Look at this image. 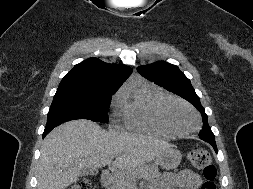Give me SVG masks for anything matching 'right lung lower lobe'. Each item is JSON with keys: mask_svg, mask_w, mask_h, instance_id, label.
<instances>
[{"mask_svg": "<svg viewBox=\"0 0 253 189\" xmlns=\"http://www.w3.org/2000/svg\"><path fill=\"white\" fill-rule=\"evenodd\" d=\"M60 123L57 124H52V125H46L44 133H43V138L56 126H58Z\"/></svg>", "mask_w": 253, "mask_h": 189, "instance_id": "98d812e1", "label": "right lung lower lobe"}]
</instances>
